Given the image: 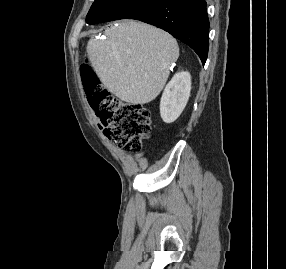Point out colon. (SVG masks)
Instances as JSON below:
<instances>
[{"label": "colon", "instance_id": "colon-1", "mask_svg": "<svg viewBox=\"0 0 286 269\" xmlns=\"http://www.w3.org/2000/svg\"><path fill=\"white\" fill-rule=\"evenodd\" d=\"M81 74L89 104L104 125L105 136L126 152L139 153L142 140L151 134L148 109L116 100L89 67H82Z\"/></svg>", "mask_w": 286, "mask_h": 269}]
</instances>
